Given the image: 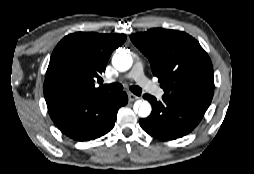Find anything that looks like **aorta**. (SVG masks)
<instances>
[{"label": "aorta", "mask_w": 254, "mask_h": 174, "mask_svg": "<svg viewBox=\"0 0 254 174\" xmlns=\"http://www.w3.org/2000/svg\"><path fill=\"white\" fill-rule=\"evenodd\" d=\"M133 59L130 54L125 51H119L113 55L112 64L121 72L127 71L131 68ZM151 113V105L148 101H143L138 107V115L141 118H146Z\"/></svg>", "instance_id": "762f6f07"}]
</instances>
